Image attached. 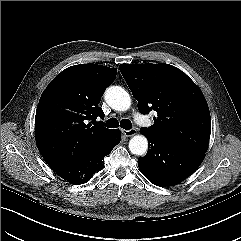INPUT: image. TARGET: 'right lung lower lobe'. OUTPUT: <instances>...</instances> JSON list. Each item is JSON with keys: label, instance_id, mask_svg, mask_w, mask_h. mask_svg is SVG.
<instances>
[{"label": "right lung lower lobe", "instance_id": "98d812e1", "mask_svg": "<svg viewBox=\"0 0 241 241\" xmlns=\"http://www.w3.org/2000/svg\"><path fill=\"white\" fill-rule=\"evenodd\" d=\"M120 131L114 130L103 144L85 155L68 162L50 166L56 174L73 184H84L103 169V158L120 142Z\"/></svg>", "mask_w": 241, "mask_h": 241}]
</instances>
